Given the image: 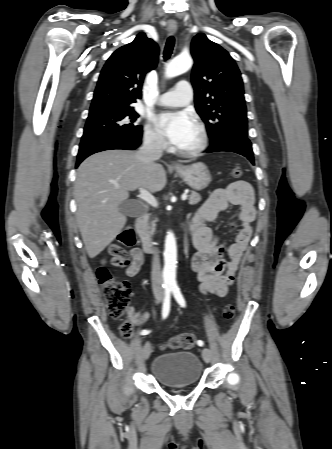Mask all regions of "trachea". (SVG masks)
<instances>
[{
    "label": "trachea",
    "mask_w": 332,
    "mask_h": 449,
    "mask_svg": "<svg viewBox=\"0 0 332 449\" xmlns=\"http://www.w3.org/2000/svg\"><path fill=\"white\" fill-rule=\"evenodd\" d=\"M174 44H175V39L173 36H170L167 39L166 45H165V49H164V59L167 60L170 58L173 48H174Z\"/></svg>",
    "instance_id": "1"
}]
</instances>
